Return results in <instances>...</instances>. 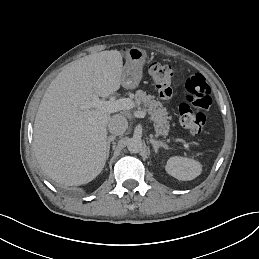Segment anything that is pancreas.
<instances>
[{
    "label": "pancreas",
    "mask_w": 259,
    "mask_h": 259,
    "mask_svg": "<svg viewBox=\"0 0 259 259\" xmlns=\"http://www.w3.org/2000/svg\"><path fill=\"white\" fill-rule=\"evenodd\" d=\"M152 95H147L142 90H137L135 93L136 105H143V110L148 112L150 120L154 122V128L160 135H167L170 129L169 121L171 116H167L168 112L166 108L162 106V103L156 101Z\"/></svg>",
    "instance_id": "pancreas-1"
}]
</instances>
